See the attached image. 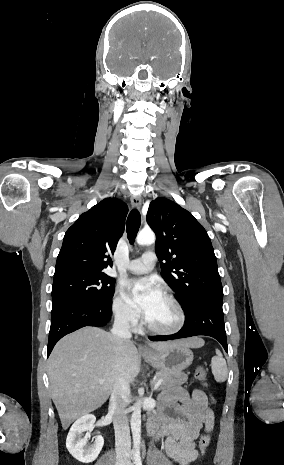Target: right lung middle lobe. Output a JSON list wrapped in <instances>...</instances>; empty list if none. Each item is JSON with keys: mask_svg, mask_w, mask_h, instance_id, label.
<instances>
[{"mask_svg": "<svg viewBox=\"0 0 284 465\" xmlns=\"http://www.w3.org/2000/svg\"><path fill=\"white\" fill-rule=\"evenodd\" d=\"M115 280L106 274H72L53 279L52 311L71 301L109 302Z\"/></svg>", "mask_w": 284, "mask_h": 465, "instance_id": "1", "label": "right lung middle lobe"}]
</instances>
